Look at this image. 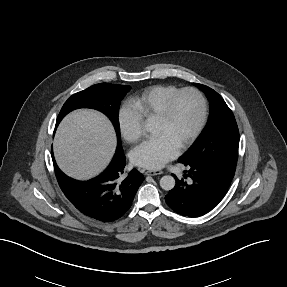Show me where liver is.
I'll return each mask as SVG.
<instances>
[{"label":"liver","mask_w":287,"mask_h":287,"mask_svg":"<svg viewBox=\"0 0 287 287\" xmlns=\"http://www.w3.org/2000/svg\"><path fill=\"white\" fill-rule=\"evenodd\" d=\"M115 147L116 137L109 120L90 110L68 115L54 139L58 166L68 176L79 180L100 173L109 163Z\"/></svg>","instance_id":"6515ba94"}]
</instances>
